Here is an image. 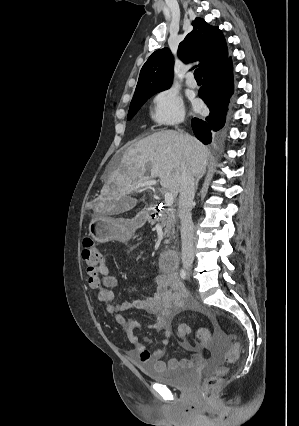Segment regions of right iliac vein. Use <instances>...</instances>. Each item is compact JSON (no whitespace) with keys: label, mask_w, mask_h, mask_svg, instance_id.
<instances>
[{"label":"right iliac vein","mask_w":299,"mask_h":426,"mask_svg":"<svg viewBox=\"0 0 299 426\" xmlns=\"http://www.w3.org/2000/svg\"><path fill=\"white\" fill-rule=\"evenodd\" d=\"M186 268H187V269H189V266H188V265H186Z\"/></svg>","instance_id":"63e3f726"}]
</instances>
